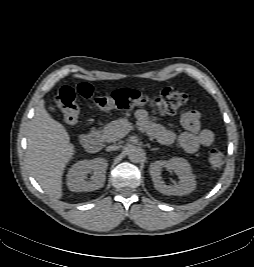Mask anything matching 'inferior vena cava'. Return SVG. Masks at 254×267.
Here are the masks:
<instances>
[{
	"instance_id": "obj_1",
	"label": "inferior vena cava",
	"mask_w": 254,
	"mask_h": 267,
	"mask_svg": "<svg viewBox=\"0 0 254 267\" xmlns=\"http://www.w3.org/2000/svg\"><path fill=\"white\" fill-rule=\"evenodd\" d=\"M118 149V146H115V145H110L106 148L107 151H114V150H117Z\"/></svg>"
}]
</instances>
